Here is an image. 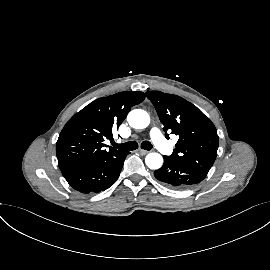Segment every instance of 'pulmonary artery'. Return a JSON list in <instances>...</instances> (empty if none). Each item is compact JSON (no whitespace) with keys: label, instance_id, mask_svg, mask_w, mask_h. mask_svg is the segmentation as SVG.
<instances>
[{"label":"pulmonary artery","instance_id":"pulmonary-artery-1","mask_svg":"<svg viewBox=\"0 0 270 270\" xmlns=\"http://www.w3.org/2000/svg\"><path fill=\"white\" fill-rule=\"evenodd\" d=\"M150 137L155 146L164 154H171L173 151L172 146L164 138L161 131L158 128H152L150 130Z\"/></svg>","mask_w":270,"mask_h":270}]
</instances>
